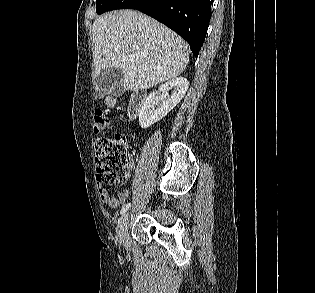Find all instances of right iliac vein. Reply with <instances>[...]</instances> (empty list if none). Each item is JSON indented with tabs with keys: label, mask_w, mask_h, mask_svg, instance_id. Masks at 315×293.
I'll return each instance as SVG.
<instances>
[{
	"label": "right iliac vein",
	"mask_w": 315,
	"mask_h": 293,
	"mask_svg": "<svg viewBox=\"0 0 315 293\" xmlns=\"http://www.w3.org/2000/svg\"><path fill=\"white\" fill-rule=\"evenodd\" d=\"M128 223H129V214L125 213L119 219L118 227H117L119 241L126 246L128 245V241H129Z\"/></svg>",
	"instance_id": "right-iliac-vein-1"
}]
</instances>
